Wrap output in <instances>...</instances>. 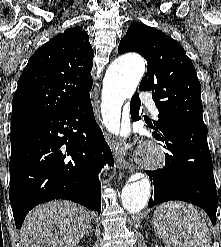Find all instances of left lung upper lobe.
<instances>
[{
	"label": "left lung upper lobe",
	"mask_w": 221,
	"mask_h": 247,
	"mask_svg": "<svg viewBox=\"0 0 221 247\" xmlns=\"http://www.w3.org/2000/svg\"><path fill=\"white\" fill-rule=\"evenodd\" d=\"M137 52L147 61V73L139 90H152L165 121L205 126L202 116L201 85L191 59L183 47L165 33L144 24H132L121 39L118 53Z\"/></svg>",
	"instance_id": "5c2ea615"
}]
</instances>
